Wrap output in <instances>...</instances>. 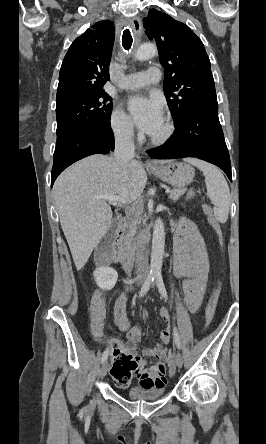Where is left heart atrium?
<instances>
[{
    "label": "left heart atrium",
    "mask_w": 266,
    "mask_h": 444,
    "mask_svg": "<svg viewBox=\"0 0 266 444\" xmlns=\"http://www.w3.org/2000/svg\"><path fill=\"white\" fill-rule=\"evenodd\" d=\"M128 109L138 128L149 135L164 122L163 109L156 98L134 96L128 101Z\"/></svg>",
    "instance_id": "1"
}]
</instances>
